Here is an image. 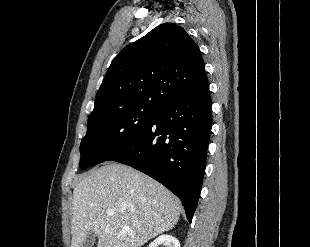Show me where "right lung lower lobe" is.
Listing matches in <instances>:
<instances>
[{
	"label": "right lung lower lobe",
	"mask_w": 310,
	"mask_h": 247,
	"mask_svg": "<svg viewBox=\"0 0 310 247\" xmlns=\"http://www.w3.org/2000/svg\"><path fill=\"white\" fill-rule=\"evenodd\" d=\"M212 126L209 83L162 105L137 138L107 161L131 166L180 198L192 221Z\"/></svg>",
	"instance_id": "1"
}]
</instances>
